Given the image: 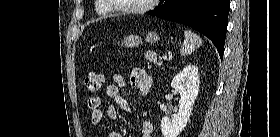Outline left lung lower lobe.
Masks as SVG:
<instances>
[{"label": "left lung lower lobe", "mask_w": 280, "mask_h": 137, "mask_svg": "<svg viewBox=\"0 0 280 137\" xmlns=\"http://www.w3.org/2000/svg\"><path fill=\"white\" fill-rule=\"evenodd\" d=\"M229 7L230 0H165L149 15L185 24L202 33L213 42L222 58Z\"/></svg>", "instance_id": "obj_1"}]
</instances>
